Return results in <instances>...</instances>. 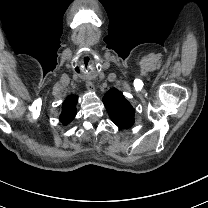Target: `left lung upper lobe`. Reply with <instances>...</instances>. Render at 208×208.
<instances>
[{"mask_svg":"<svg viewBox=\"0 0 208 208\" xmlns=\"http://www.w3.org/2000/svg\"><path fill=\"white\" fill-rule=\"evenodd\" d=\"M103 103L111 120L118 127L127 129L134 124L135 110L117 89H110L104 95Z\"/></svg>","mask_w":208,"mask_h":208,"instance_id":"5c2ea615","label":"left lung upper lobe"}]
</instances>
